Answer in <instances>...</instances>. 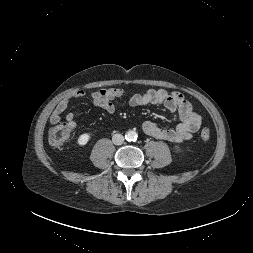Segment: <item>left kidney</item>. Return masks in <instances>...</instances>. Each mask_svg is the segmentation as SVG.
I'll list each match as a JSON object with an SVG mask.
<instances>
[{"label":"left kidney","instance_id":"obj_1","mask_svg":"<svg viewBox=\"0 0 253 253\" xmlns=\"http://www.w3.org/2000/svg\"><path fill=\"white\" fill-rule=\"evenodd\" d=\"M175 149L180 150V147L179 146H175Z\"/></svg>","mask_w":253,"mask_h":253}]
</instances>
